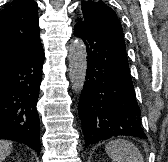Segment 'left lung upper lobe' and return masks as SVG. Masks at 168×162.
Instances as JSON below:
<instances>
[{"mask_svg":"<svg viewBox=\"0 0 168 162\" xmlns=\"http://www.w3.org/2000/svg\"><path fill=\"white\" fill-rule=\"evenodd\" d=\"M78 21H87L125 45L121 23L116 13L104 2L98 0H86L82 2V12Z\"/></svg>","mask_w":168,"mask_h":162,"instance_id":"obj_1","label":"left lung upper lobe"}]
</instances>
